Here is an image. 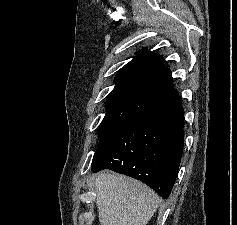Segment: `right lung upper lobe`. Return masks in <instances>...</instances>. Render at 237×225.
<instances>
[{
	"instance_id": "right-lung-upper-lobe-1",
	"label": "right lung upper lobe",
	"mask_w": 237,
	"mask_h": 225,
	"mask_svg": "<svg viewBox=\"0 0 237 225\" xmlns=\"http://www.w3.org/2000/svg\"><path fill=\"white\" fill-rule=\"evenodd\" d=\"M161 55L145 48L119 73L115 88L109 94L103 120L127 122L158 104L179 94L173 88L171 72L163 65Z\"/></svg>"
}]
</instances>
